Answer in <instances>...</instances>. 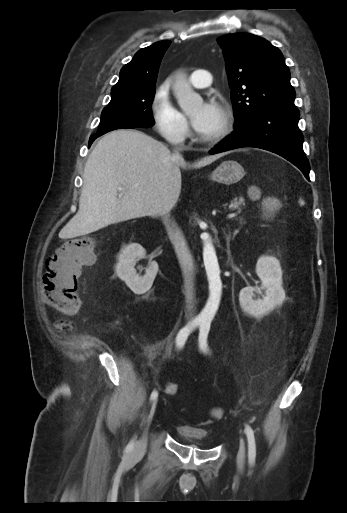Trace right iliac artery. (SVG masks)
Returning a JSON list of instances; mask_svg holds the SVG:
<instances>
[{"mask_svg":"<svg viewBox=\"0 0 347 513\" xmlns=\"http://www.w3.org/2000/svg\"><path fill=\"white\" fill-rule=\"evenodd\" d=\"M200 323H201V320L196 318V319H194V320H193L189 325H187V326L183 327V328L179 331V333H178V334H177V336H176V346H177L179 349H181V348L184 346V344H185V342H186V340H187V338H188V336H189L190 332L192 331V329H193L194 327H196V326L200 325ZM157 397H158V392H157L156 390H154V391L151 393L150 399H151V400H155ZM133 446H134V440H131V441L129 442V444L127 445V447H126V451H127V452L131 451V450L133 449Z\"/></svg>","mask_w":347,"mask_h":513,"instance_id":"82829eb1","label":"right iliac artery"}]
</instances>
